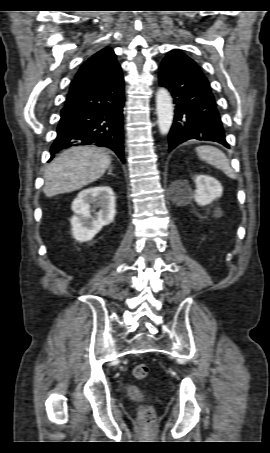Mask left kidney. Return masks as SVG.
I'll list each match as a JSON object with an SVG mask.
<instances>
[{"instance_id": "5707ae66", "label": "left kidney", "mask_w": 270, "mask_h": 453, "mask_svg": "<svg viewBox=\"0 0 270 453\" xmlns=\"http://www.w3.org/2000/svg\"><path fill=\"white\" fill-rule=\"evenodd\" d=\"M196 189L193 193L195 202L200 206L211 204L216 198L222 196V186L218 180L207 175H198L195 178ZM179 192L183 193L186 198H190L189 190L180 187ZM223 212L220 208L215 210L216 216H222Z\"/></svg>"}]
</instances>
